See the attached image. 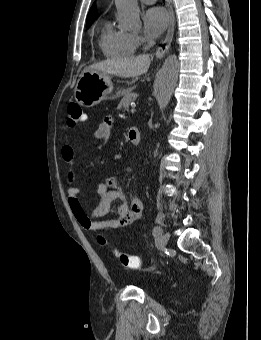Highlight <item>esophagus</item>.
<instances>
[{
    "instance_id": "obj_1",
    "label": "esophagus",
    "mask_w": 261,
    "mask_h": 340,
    "mask_svg": "<svg viewBox=\"0 0 261 340\" xmlns=\"http://www.w3.org/2000/svg\"><path fill=\"white\" fill-rule=\"evenodd\" d=\"M166 6L168 8L170 15V24L164 41L156 51V57L158 59H161L165 55V53L169 50L174 35L175 16L171 5V0H166Z\"/></svg>"
}]
</instances>
